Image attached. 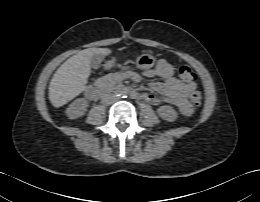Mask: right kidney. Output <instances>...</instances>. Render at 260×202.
I'll return each mask as SVG.
<instances>
[{
  "mask_svg": "<svg viewBox=\"0 0 260 202\" xmlns=\"http://www.w3.org/2000/svg\"><path fill=\"white\" fill-rule=\"evenodd\" d=\"M88 108V101L85 98L76 99L66 110V114L70 119H76L85 114Z\"/></svg>",
  "mask_w": 260,
  "mask_h": 202,
  "instance_id": "1",
  "label": "right kidney"
}]
</instances>
